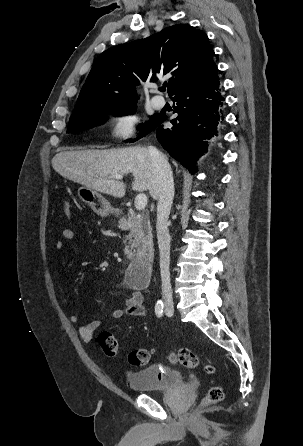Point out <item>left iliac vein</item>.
Masks as SVG:
<instances>
[{
	"label": "left iliac vein",
	"mask_w": 303,
	"mask_h": 446,
	"mask_svg": "<svg viewBox=\"0 0 303 446\" xmlns=\"http://www.w3.org/2000/svg\"><path fill=\"white\" fill-rule=\"evenodd\" d=\"M173 313H174L173 306L172 305H167L166 309H165V314L170 317V316L173 315Z\"/></svg>",
	"instance_id": "obj_1"
}]
</instances>
